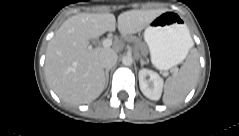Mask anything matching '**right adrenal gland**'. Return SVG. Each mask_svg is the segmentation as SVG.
I'll list each match as a JSON object with an SVG mask.
<instances>
[{
    "mask_svg": "<svg viewBox=\"0 0 239 136\" xmlns=\"http://www.w3.org/2000/svg\"><path fill=\"white\" fill-rule=\"evenodd\" d=\"M109 72H110V69H106V71H105V86L106 87H107L108 81H109Z\"/></svg>",
    "mask_w": 239,
    "mask_h": 136,
    "instance_id": "2a0ac1e0",
    "label": "right adrenal gland"
}]
</instances>
